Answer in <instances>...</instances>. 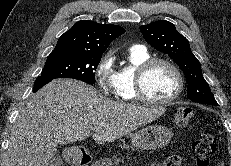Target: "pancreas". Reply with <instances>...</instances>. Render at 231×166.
<instances>
[{"label": "pancreas", "mask_w": 231, "mask_h": 166, "mask_svg": "<svg viewBox=\"0 0 231 166\" xmlns=\"http://www.w3.org/2000/svg\"><path fill=\"white\" fill-rule=\"evenodd\" d=\"M129 161V159H128ZM122 162L124 163V158H117L115 155L112 158H103L95 163H93L92 166H118L119 163Z\"/></svg>", "instance_id": "obj_1"}]
</instances>
